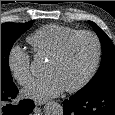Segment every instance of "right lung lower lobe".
Returning a JSON list of instances; mask_svg holds the SVG:
<instances>
[{"instance_id": "right-lung-lower-lobe-1", "label": "right lung lower lobe", "mask_w": 115, "mask_h": 115, "mask_svg": "<svg viewBox=\"0 0 115 115\" xmlns=\"http://www.w3.org/2000/svg\"><path fill=\"white\" fill-rule=\"evenodd\" d=\"M18 92L14 83L1 84V115H29L33 111L34 102L30 99L21 100L17 105L11 104Z\"/></svg>"}]
</instances>
